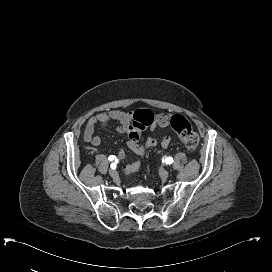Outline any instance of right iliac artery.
Instances as JSON below:
<instances>
[{
    "mask_svg": "<svg viewBox=\"0 0 272 272\" xmlns=\"http://www.w3.org/2000/svg\"><path fill=\"white\" fill-rule=\"evenodd\" d=\"M108 159H109L110 161H114V163L111 164V168H112V169H115V168H116V163L118 162V159L116 158V156L111 155V156H109Z\"/></svg>",
    "mask_w": 272,
    "mask_h": 272,
    "instance_id": "1",
    "label": "right iliac artery"
}]
</instances>
